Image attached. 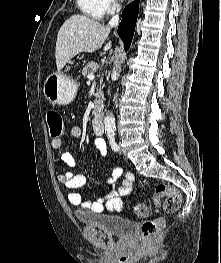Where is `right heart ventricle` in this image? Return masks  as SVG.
Instances as JSON below:
<instances>
[{
  "label": "right heart ventricle",
  "instance_id": "right-heart-ventricle-1",
  "mask_svg": "<svg viewBox=\"0 0 221 263\" xmlns=\"http://www.w3.org/2000/svg\"><path fill=\"white\" fill-rule=\"evenodd\" d=\"M79 9L86 16L93 19H101L104 11L100 0H77Z\"/></svg>",
  "mask_w": 221,
  "mask_h": 263
}]
</instances>
